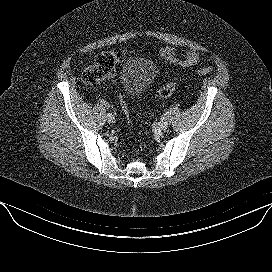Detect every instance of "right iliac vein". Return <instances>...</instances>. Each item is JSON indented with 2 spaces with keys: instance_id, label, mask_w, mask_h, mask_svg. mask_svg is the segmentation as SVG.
Segmentation results:
<instances>
[{
  "instance_id": "right-iliac-vein-1",
  "label": "right iliac vein",
  "mask_w": 272,
  "mask_h": 272,
  "mask_svg": "<svg viewBox=\"0 0 272 272\" xmlns=\"http://www.w3.org/2000/svg\"><path fill=\"white\" fill-rule=\"evenodd\" d=\"M107 120H108V122H109V123H113V122H114V117H113V116H112V117H110V118H109V117H107Z\"/></svg>"
}]
</instances>
